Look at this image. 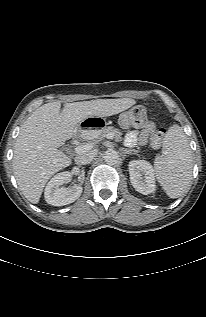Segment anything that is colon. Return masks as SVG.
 Instances as JSON below:
<instances>
[{
    "instance_id": "colon-1",
    "label": "colon",
    "mask_w": 206,
    "mask_h": 317,
    "mask_svg": "<svg viewBox=\"0 0 206 317\" xmlns=\"http://www.w3.org/2000/svg\"><path fill=\"white\" fill-rule=\"evenodd\" d=\"M118 123L124 128L144 127L147 122V111L144 106L137 105L118 116ZM165 134L164 129H158L153 132L151 142L154 146H159Z\"/></svg>"
}]
</instances>
